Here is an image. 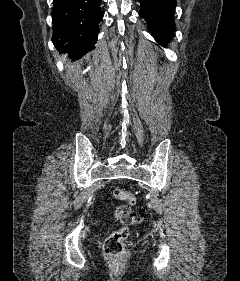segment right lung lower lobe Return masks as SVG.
<instances>
[{
	"instance_id": "right-lung-lower-lobe-1",
	"label": "right lung lower lobe",
	"mask_w": 240,
	"mask_h": 281,
	"mask_svg": "<svg viewBox=\"0 0 240 281\" xmlns=\"http://www.w3.org/2000/svg\"><path fill=\"white\" fill-rule=\"evenodd\" d=\"M102 0H54L52 41L73 59L93 50L98 24L103 18Z\"/></svg>"
}]
</instances>
